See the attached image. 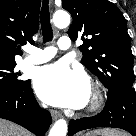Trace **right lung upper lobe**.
Masks as SVG:
<instances>
[{"label":"right lung upper lobe","instance_id":"right-lung-upper-lobe-1","mask_svg":"<svg viewBox=\"0 0 136 136\" xmlns=\"http://www.w3.org/2000/svg\"><path fill=\"white\" fill-rule=\"evenodd\" d=\"M41 0H0V64L15 62L20 44L33 42Z\"/></svg>","mask_w":136,"mask_h":136}]
</instances>
